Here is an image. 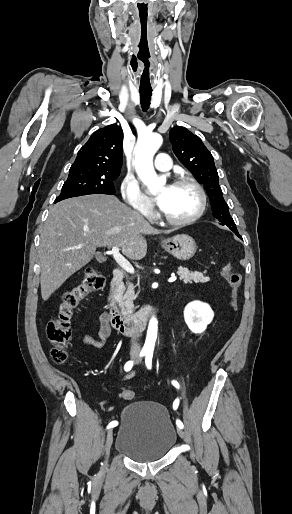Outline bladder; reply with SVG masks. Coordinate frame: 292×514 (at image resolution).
<instances>
[{
    "label": "bladder",
    "mask_w": 292,
    "mask_h": 514,
    "mask_svg": "<svg viewBox=\"0 0 292 514\" xmlns=\"http://www.w3.org/2000/svg\"><path fill=\"white\" fill-rule=\"evenodd\" d=\"M176 440L175 427L163 405L135 401L123 408L115 442L119 455L138 463L159 461Z\"/></svg>",
    "instance_id": "1"
}]
</instances>
